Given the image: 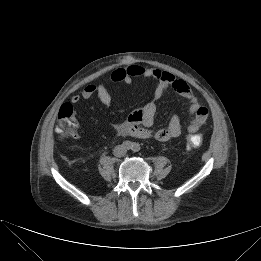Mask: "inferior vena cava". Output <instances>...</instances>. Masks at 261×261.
I'll return each mask as SVG.
<instances>
[{
  "instance_id": "602c4592",
  "label": "inferior vena cava",
  "mask_w": 261,
  "mask_h": 261,
  "mask_svg": "<svg viewBox=\"0 0 261 261\" xmlns=\"http://www.w3.org/2000/svg\"><path fill=\"white\" fill-rule=\"evenodd\" d=\"M126 152H127L126 148L123 147L122 145H118L114 149V155L116 157H122L126 154Z\"/></svg>"
}]
</instances>
